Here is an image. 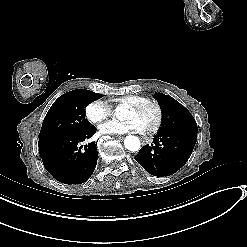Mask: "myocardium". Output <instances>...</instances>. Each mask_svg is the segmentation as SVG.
Masks as SVG:
<instances>
[{
    "label": "myocardium",
    "instance_id": "f54148a6",
    "mask_svg": "<svg viewBox=\"0 0 247 247\" xmlns=\"http://www.w3.org/2000/svg\"><path fill=\"white\" fill-rule=\"evenodd\" d=\"M147 104L154 105L156 107V112H157L156 122H155L153 128L150 129L146 133L147 135L151 136V135H155L159 132V130L162 126V123H163L164 111H163V106H162L161 102L156 98L144 97V98L140 99L139 101H137L136 103L126 105V107L129 109H132L134 111H139Z\"/></svg>",
    "mask_w": 247,
    "mask_h": 247
}]
</instances>
